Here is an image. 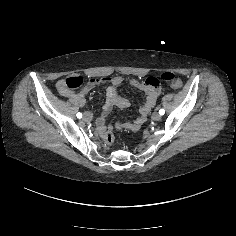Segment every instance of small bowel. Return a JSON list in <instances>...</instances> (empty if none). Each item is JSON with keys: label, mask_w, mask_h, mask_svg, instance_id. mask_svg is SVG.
I'll return each mask as SVG.
<instances>
[{"label": "small bowel", "mask_w": 236, "mask_h": 236, "mask_svg": "<svg viewBox=\"0 0 236 236\" xmlns=\"http://www.w3.org/2000/svg\"><path fill=\"white\" fill-rule=\"evenodd\" d=\"M106 79H100V80H91L86 89H85V92L90 90L91 88H93L94 86H96L98 83L100 82H103L105 81ZM62 84H63V80L62 81H59L58 84H57V87L59 89V91L67 96V97H70V98H82L84 99V93H72L70 91H67L65 90L63 87H62ZM117 96V95H116ZM123 100V99H121ZM154 102H155V96L153 99H150L145 106L141 107L140 109V114H141V117L136 120L134 122V124H132V127L131 128H134V127H137L138 125H140L143 121V117L148 113V111L151 109V107L154 105ZM115 105H118L119 107H127L129 105L128 101L127 100H123V105H120L118 103H114Z\"/></svg>", "instance_id": "1"}]
</instances>
